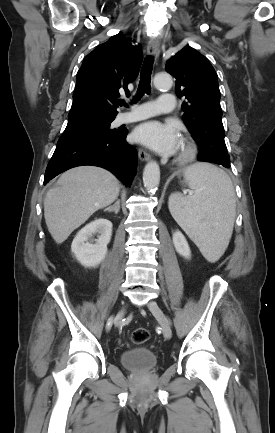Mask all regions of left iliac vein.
<instances>
[{
	"instance_id": "obj_1",
	"label": "left iliac vein",
	"mask_w": 275,
	"mask_h": 433,
	"mask_svg": "<svg viewBox=\"0 0 275 433\" xmlns=\"http://www.w3.org/2000/svg\"><path fill=\"white\" fill-rule=\"evenodd\" d=\"M148 308L160 323L164 337L170 339L172 336V330L159 305L156 302L151 301L148 303Z\"/></svg>"
}]
</instances>
